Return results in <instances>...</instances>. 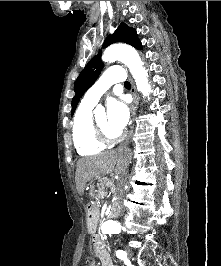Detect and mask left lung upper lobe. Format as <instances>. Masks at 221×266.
<instances>
[{"label": "left lung upper lobe", "mask_w": 221, "mask_h": 266, "mask_svg": "<svg viewBox=\"0 0 221 266\" xmlns=\"http://www.w3.org/2000/svg\"><path fill=\"white\" fill-rule=\"evenodd\" d=\"M116 42H124L137 49L142 48L140 40L137 38L136 30L132 27L127 26L125 23H121L120 26L115 30L112 35H109L103 44V47ZM103 68V63L101 61V52H99V57H93L90 62L81 71L78 78L74 84L75 96L72 99V111L71 115L74 114L76 106L83 96L85 91L93 85V83L98 78L101 70Z\"/></svg>", "instance_id": "left-lung-upper-lobe-1"}]
</instances>
